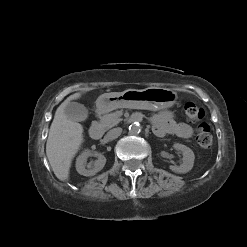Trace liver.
Returning <instances> with one entry per match:
<instances>
[{"label": "liver", "mask_w": 247, "mask_h": 247, "mask_svg": "<svg viewBox=\"0 0 247 247\" xmlns=\"http://www.w3.org/2000/svg\"><path fill=\"white\" fill-rule=\"evenodd\" d=\"M79 97L81 93H75L57 108L47 138L46 155L54 174L61 181L68 180L72 159L84 141L83 126L68 119L64 113L65 106Z\"/></svg>", "instance_id": "6515ba94"}]
</instances>
